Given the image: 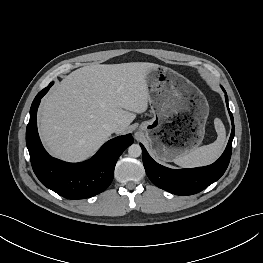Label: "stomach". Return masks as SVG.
<instances>
[{
  "label": "stomach",
  "mask_w": 263,
  "mask_h": 263,
  "mask_svg": "<svg viewBox=\"0 0 263 263\" xmlns=\"http://www.w3.org/2000/svg\"><path fill=\"white\" fill-rule=\"evenodd\" d=\"M153 118L140 125L154 156L162 161L195 150L203 141L209 105L204 94L171 68L146 73Z\"/></svg>",
  "instance_id": "obj_1"
}]
</instances>
